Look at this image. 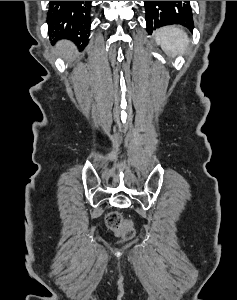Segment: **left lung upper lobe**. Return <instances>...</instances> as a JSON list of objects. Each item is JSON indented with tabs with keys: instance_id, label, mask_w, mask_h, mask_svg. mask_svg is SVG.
<instances>
[{
	"instance_id": "obj_1",
	"label": "left lung upper lobe",
	"mask_w": 237,
	"mask_h": 300,
	"mask_svg": "<svg viewBox=\"0 0 237 300\" xmlns=\"http://www.w3.org/2000/svg\"><path fill=\"white\" fill-rule=\"evenodd\" d=\"M145 10L148 33L170 24L193 28L191 7L182 1H159L158 4L145 6Z\"/></svg>"
}]
</instances>
